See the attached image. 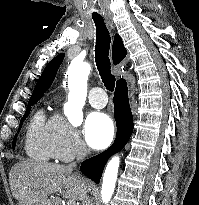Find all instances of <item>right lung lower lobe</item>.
<instances>
[{"mask_svg": "<svg viewBox=\"0 0 199 205\" xmlns=\"http://www.w3.org/2000/svg\"><path fill=\"white\" fill-rule=\"evenodd\" d=\"M114 117L117 124V135L113 145L99 155L85 160L80 166L81 172L95 183H99L107 160L126 145L133 132V116L129 106L127 84L123 79L116 84Z\"/></svg>", "mask_w": 199, "mask_h": 205, "instance_id": "obj_1", "label": "right lung lower lobe"}]
</instances>
